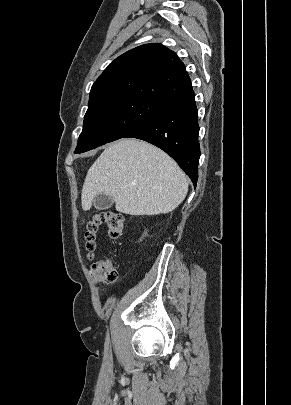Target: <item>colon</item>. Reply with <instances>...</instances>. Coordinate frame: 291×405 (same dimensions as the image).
<instances>
[{
  "label": "colon",
  "mask_w": 291,
  "mask_h": 405,
  "mask_svg": "<svg viewBox=\"0 0 291 405\" xmlns=\"http://www.w3.org/2000/svg\"><path fill=\"white\" fill-rule=\"evenodd\" d=\"M105 225L110 238L120 237L124 230V217L119 212L108 211L93 214L84 221L85 247L90 259L96 249V237L100 226ZM91 275L98 283L110 284L117 280L118 274L109 258L94 262L91 266Z\"/></svg>",
  "instance_id": "obj_1"
}]
</instances>
